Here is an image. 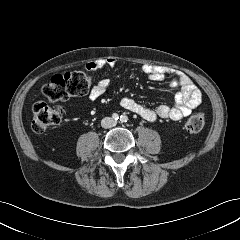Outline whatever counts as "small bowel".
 <instances>
[{"instance_id": "1", "label": "small bowel", "mask_w": 240, "mask_h": 240, "mask_svg": "<svg viewBox=\"0 0 240 240\" xmlns=\"http://www.w3.org/2000/svg\"><path fill=\"white\" fill-rule=\"evenodd\" d=\"M116 63L117 61L114 57L97 59L88 63L87 69L97 71L106 67L113 68L116 66ZM141 71L150 80L156 82H162L170 78V84L179 89L175 96V104L173 106L161 104L155 108H150L126 96L120 99V105L126 110L139 115L147 121H155L157 119L180 120L190 115L192 110L200 104L202 99L201 91L186 74L150 64L143 65ZM110 83L111 81L108 78L99 80L92 87L89 99L94 101L100 98L109 88Z\"/></svg>"}]
</instances>
